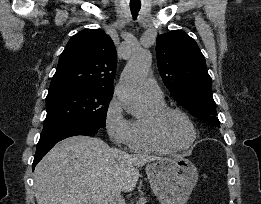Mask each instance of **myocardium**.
Segmentation results:
<instances>
[{
	"label": "myocardium",
	"instance_id": "obj_1",
	"mask_svg": "<svg viewBox=\"0 0 261 204\" xmlns=\"http://www.w3.org/2000/svg\"><path fill=\"white\" fill-rule=\"evenodd\" d=\"M179 115L182 118H184L187 123L190 125L192 129V139L190 142L184 146H177L174 143H172L166 136L165 131H164V125L167 120V118L171 115ZM152 129L154 132L155 137L158 139L159 142H161L163 145L166 147L170 148L173 151H184L189 149L197 140L198 137V132L197 128L191 119V117L182 109L175 108V107H165L159 112H157L153 118H152Z\"/></svg>",
	"mask_w": 261,
	"mask_h": 204
}]
</instances>
